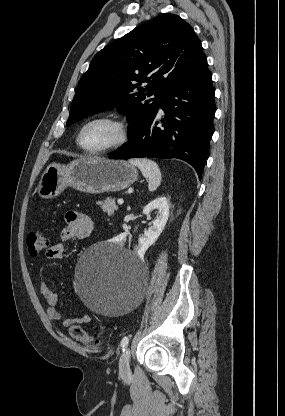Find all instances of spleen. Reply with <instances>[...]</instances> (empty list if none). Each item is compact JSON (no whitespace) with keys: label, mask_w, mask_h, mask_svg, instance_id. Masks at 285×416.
Masks as SVG:
<instances>
[{"label":"spleen","mask_w":285,"mask_h":416,"mask_svg":"<svg viewBox=\"0 0 285 416\" xmlns=\"http://www.w3.org/2000/svg\"><path fill=\"white\" fill-rule=\"evenodd\" d=\"M128 162L132 166H137L141 170L144 178H147L149 192L157 190L161 184L162 176L156 162L147 160V158H134V160H128Z\"/></svg>","instance_id":"spleen-1"}]
</instances>
